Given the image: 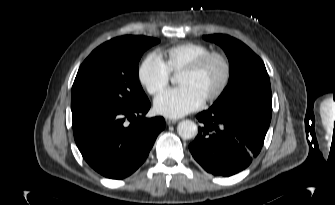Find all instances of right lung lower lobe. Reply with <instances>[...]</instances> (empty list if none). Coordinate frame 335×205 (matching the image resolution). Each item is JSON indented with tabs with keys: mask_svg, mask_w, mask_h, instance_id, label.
Listing matches in <instances>:
<instances>
[{
	"mask_svg": "<svg viewBox=\"0 0 335 205\" xmlns=\"http://www.w3.org/2000/svg\"><path fill=\"white\" fill-rule=\"evenodd\" d=\"M149 109L146 98L132 107L72 113L75 142L86 162L107 178L131 175L165 128L163 117H145Z\"/></svg>",
	"mask_w": 335,
	"mask_h": 205,
	"instance_id": "1",
	"label": "right lung lower lobe"
}]
</instances>
